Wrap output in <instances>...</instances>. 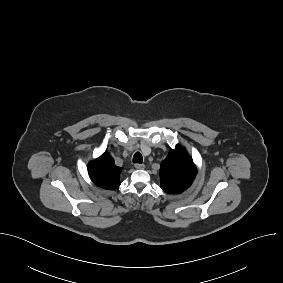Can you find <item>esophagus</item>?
Returning <instances> with one entry per match:
<instances>
[{"mask_svg": "<svg viewBox=\"0 0 283 283\" xmlns=\"http://www.w3.org/2000/svg\"><path fill=\"white\" fill-rule=\"evenodd\" d=\"M135 168H136V169H144V168H145V165H144V164H139V163H137V164H135Z\"/></svg>", "mask_w": 283, "mask_h": 283, "instance_id": "obj_1", "label": "esophagus"}]
</instances>
